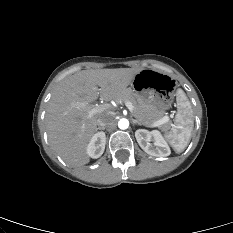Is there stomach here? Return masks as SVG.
<instances>
[{
    "mask_svg": "<svg viewBox=\"0 0 233 233\" xmlns=\"http://www.w3.org/2000/svg\"><path fill=\"white\" fill-rule=\"evenodd\" d=\"M131 86V90L148 104L157 100L171 101L178 92L176 82L168 74L153 69H142L134 77Z\"/></svg>",
    "mask_w": 233,
    "mask_h": 233,
    "instance_id": "0dacf381",
    "label": "stomach"
}]
</instances>
